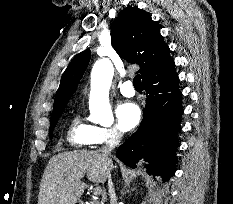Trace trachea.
Segmentation results:
<instances>
[{
    "label": "trachea",
    "instance_id": "3493384b",
    "mask_svg": "<svg viewBox=\"0 0 233 204\" xmlns=\"http://www.w3.org/2000/svg\"><path fill=\"white\" fill-rule=\"evenodd\" d=\"M133 85L135 89H143V84L141 82V77L139 74H137L133 79Z\"/></svg>",
    "mask_w": 233,
    "mask_h": 204
}]
</instances>
